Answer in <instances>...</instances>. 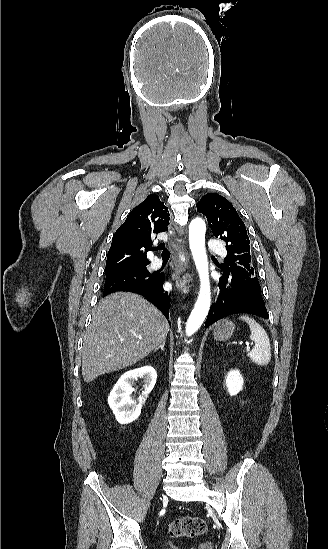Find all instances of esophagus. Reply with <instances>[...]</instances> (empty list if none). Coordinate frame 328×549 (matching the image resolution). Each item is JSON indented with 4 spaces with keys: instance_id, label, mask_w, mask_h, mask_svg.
<instances>
[{
    "instance_id": "obj_1",
    "label": "esophagus",
    "mask_w": 328,
    "mask_h": 549,
    "mask_svg": "<svg viewBox=\"0 0 328 549\" xmlns=\"http://www.w3.org/2000/svg\"><path fill=\"white\" fill-rule=\"evenodd\" d=\"M191 280L192 279L190 275H185L183 278L179 277L176 281L177 290L185 294L188 290L186 284Z\"/></svg>"
}]
</instances>
